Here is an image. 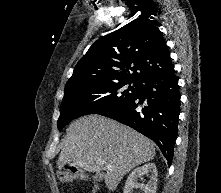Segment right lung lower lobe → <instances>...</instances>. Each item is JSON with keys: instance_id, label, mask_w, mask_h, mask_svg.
<instances>
[{"instance_id": "obj_1", "label": "right lung lower lobe", "mask_w": 221, "mask_h": 193, "mask_svg": "<svg viewBox=\"0 0 221 193\" xmlns=\"http://www.w3.org/2000/svg\"><path fill=\"white\" fill-rule=\"evenodd\" d=\"M180 92L174 69L149 76L136 96L119 107L98 113L130 126L152 139L168 164L172 162L178 134Z\"/></svg>"}]
</instances>
